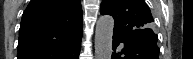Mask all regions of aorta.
<instances>
[{
    "label": "aorta",
    "mask_w": 193,
    "mask_h": 59,
    "mask_svg": "<svg viewBox=\"0 0 193 59\" xmlns=\"http://www.w3.org/2000/svg\"><path fill=\"white\" fill-rule=\"evenodd\" d=\"M114 19L109 15L101 16L95 30L96 59H111Z\"/></svg>",
    "instance_id": "762f6f07"
}]
</instances>
